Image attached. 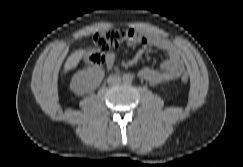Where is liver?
<instances>
[{
	"label": "liver",
	"mask_w": 243,
	"mask_h": 167,
	"mask_svg": "<svg viewBox=\"0 0 243 167\" xmlns=\"http://www.w3.org/2000/svg\"><path fill=\"white\" fill-rule=\"evenodd\" d=\"M85 54V51L83 49H79L74 51L66 60L64 64V73H67L69 70L74 69L77 67L79 61Z\"/></svg>",
	"instance_id": "6515ba94"
}]
</instances>
